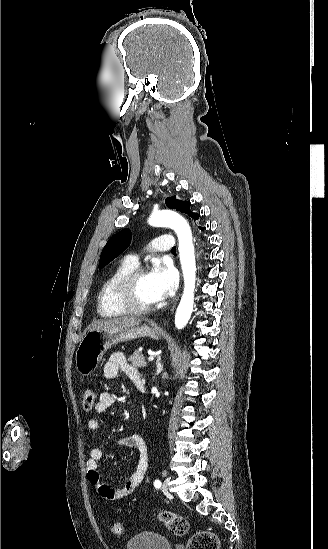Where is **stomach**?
<instances>
[{
  "instance_id": "0dacf381",
  "label": "stomach",
  "mask_w": 328,
  "mask_h": 549,
  "mask_svg": "<svg viewBox=\"0 0 328 549\" xmlns=\"http://www.w3.org/2000/svg\"><path fill=\"white\" fill-rule=\"evenodd\" d=\"M140 337H151L159 339V331H154L148 325L124 329V327H115V329H100V331H87L76 351L75 361L76 369L82 377H89L96 371L104 353L112 345L124 343V341H133Z\"/></svg>"
}]
</instances>
